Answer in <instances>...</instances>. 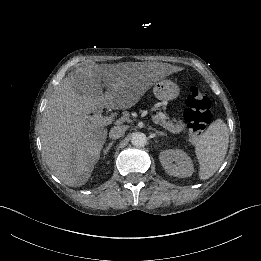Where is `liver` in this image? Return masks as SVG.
Listing matches in <instances>:
<instances>
[{
  "label": "liver",
  "mask_w": 261,
  "mask_h": 261,
  "mask_svg": "<svg viewBox=\"0 0 261 261\" xmlns=\"http://www.w3.org/2000/svg\"><path fill=\"white\" fill-rule=\"evenodd\" d=\"M158 65L81 66L55 87L39 133L45 163L58 179L72 187L88 181L108 133L96 120L104 108L128 109L138 103L167 74Z\"/></svg>",
  "instance_id": "6515ba94"
}]
</instances>
